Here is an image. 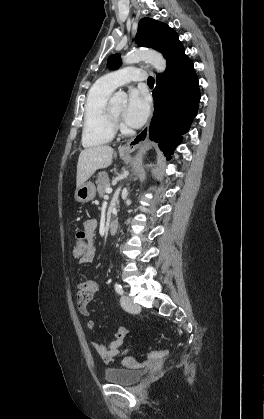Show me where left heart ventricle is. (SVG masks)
Instances as JSON below:
<instances>
[{
    "label": "left heart ventricle",
    "instance_id": "b2bd125f",
    "mask_svg": "<svg viewBox=\"0 0 264 419\" xmlns=\"http://www.w3.org/2000/svg\"><path fill=\"white\" fill-rule=\"evenodd\" d=\"M112 109L116 114L122 115L125 110V106L123 104L116 105V106H113Z\"/></svg>",
    "mask_w": 264,
    "mask_h": 419
}]
</instances>
